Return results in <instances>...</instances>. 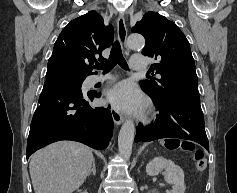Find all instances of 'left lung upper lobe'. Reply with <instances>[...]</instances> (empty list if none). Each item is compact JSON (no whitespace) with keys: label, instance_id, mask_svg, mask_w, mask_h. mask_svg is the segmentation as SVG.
Listing matches in <instances>:
<instances>
[{"label":"left lung upper lobe","instance_id":"left-lung-upper-lobe-1","mask_svg":"<svg viewBox=\"0 0 237 193\" xmlns=\"http://www.w3.org/2000/svg\"><path fill=\"white\" fill-rule=\"evenodd\" d=\"M132 31L145 37L142 54L157 60L152 69L161 75V79L140 81L142 89L157 100L200 99L190 45L179 27L156 12H147Z\"/></svg>","mask_w":237,"mask_h":193}]
</instances>
